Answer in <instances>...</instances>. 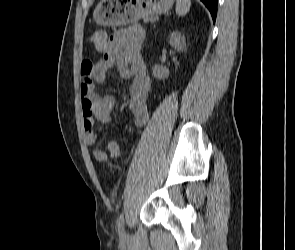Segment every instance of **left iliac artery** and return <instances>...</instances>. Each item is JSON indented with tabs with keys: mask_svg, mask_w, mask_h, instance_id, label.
I'll use <instances>...</instances> for the list:
<instances>
[{
	"mask_svg": "<svg viewBox=\"0 0 295 250\" xmlns=\"http://www.w3.org/2000/svg\"><path fill=\"white\" fill-rule=\"evenodd\" d=\"M123 225H124V214L122 213L117 220V227H118L119 234L123 232Z\"/></svg>",
	"mask_w": 295,
	"mask_h": 250,
	"instance_id": "1",
	"label": "left iliac artery"
}]
</instances>
